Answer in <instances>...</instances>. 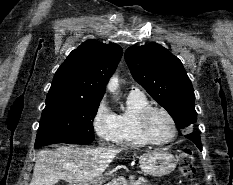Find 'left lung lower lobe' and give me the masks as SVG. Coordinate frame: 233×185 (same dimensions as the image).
Listing matches in <instances>:
<instances>
[{"label": "left lung lower lobe", "instance_id": "left-lung-lower-lobe-1", "mask_svg": "<svg viewBox=\"0 0 233 185\" xmlns=\"http://www.w3.org/2000/svg\"><path fill=\"white\" fill-rule=\"evenodd\" d=\"M184 137L190 139L202 151V145H201L199 134H197V133H190V134L185 135Z\"/></svg>", "mask_w": 233, "mask_h": 185}]
</instances>
